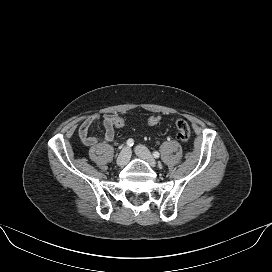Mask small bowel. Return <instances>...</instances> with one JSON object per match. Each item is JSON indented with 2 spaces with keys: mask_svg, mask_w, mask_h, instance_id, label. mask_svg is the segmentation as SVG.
I'll return each instance as SVG.
<instances>
[{
  "mask_svg": "<svg viewBox=\"0 0 272 272\" xmlns=\"http://www.w3.org/2000/svg\"><path fill=\"white\" fill-rule=\"evenodd\" d=\"M117 117L115 113H107L102 116L104 133L101 136H92L89 134L90 127L100 120L99 114H92L87 116L80 124L78 128V136L81 142L87 146L92 147L101 142L112 141L115 136L114 120Z\"/></svg>",
  "mask_w": 272,
  "mask_h": 272,
  "instance_id": "obj_1",
  "label": "small bowel"
}]
</instances>
